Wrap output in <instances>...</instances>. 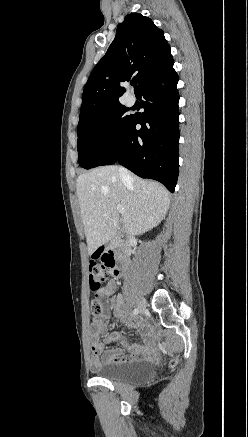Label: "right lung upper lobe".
Wrapping results in <instances>:
<instances>
[{
	"instance_id": "right-lung-upper-lobe-1",
	"label": "right lung upper lobe",
	"mask_w": 248,
	"mask_h": 437,
	"mask_svg": "<svg viewBox=\"0 0 248 437\" xmlns=\"http://www.w3.org/2000/svg\"><path fill=\"white\" fill-rule=\"evenodd\" d=\"M171 57L163 31L150 18L127 15L85 85L79 124L119 105L125 92L122 85L131 77L136 80V93Z\"/></svg>"
}]
</instances>
